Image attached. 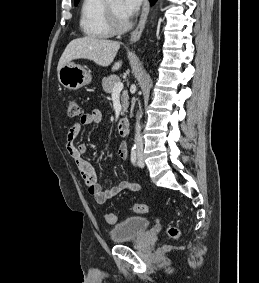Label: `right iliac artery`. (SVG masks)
<instances>
[{"mask_svg":"<svg viewBox=\"0 0 259 283\" xmlns=\"http://www.w3.org/2000/svg\"><path fill=\"white\" fill-rule=\"evenodd\" d=\"M131 162L133 165H136L137 157H136V147H133L131 150Z\"/></svg>","mask_w":259,"mask_h":283,"instance_id":"right-iliac-artery-1","label":"right iliac artery"}]
</instances>
